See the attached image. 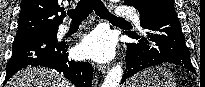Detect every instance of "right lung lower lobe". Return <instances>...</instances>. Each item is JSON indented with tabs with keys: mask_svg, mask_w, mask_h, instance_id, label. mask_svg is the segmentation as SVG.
Returning <instances> with one entry per match:
<instances>
[{
	"mask_svg": "<svg viewBox=\"0 0 205 87\" xmlns=\"http://www.w3.org/2000/svg\"><path fill=\"white\" fill-rule=\"evenodd\" d=\"M56 34L57 30L16 35L12 56L6 66L5 83L22 68L43 66L63 73L77 87H90L93 78L91 64L70 60L67 53L68 44L65 41L59 42Z\"/></svg>",
	"mask_w": 205,
	"mask_h": 87,
	"instance_id": "obj_1",
	"label": "right lung lower lobe"
}]
</instances>
